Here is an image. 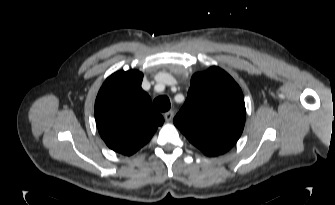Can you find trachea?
<instances>
[{"instance_id": "obj_1", "label": "trachea", "mask_w": 335, "mask_h": 205, "mask_svg": "<svg viewBox=\"0 0 335 205\" xmlns=\"http://www.w3.org/2000/svg\"><path fill=\"white\" fill-rule=\"evenodd\" d=\"M154 107L161 111V112H166L170 109L171 104L170 100L167 96H159L153 101Z\"/></svg>"}]
</instances>
